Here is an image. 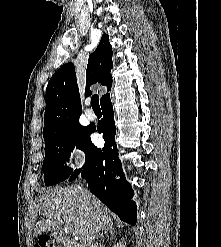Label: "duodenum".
Wrapping results in <instances>:
<instances>
[{
    "mask_svg": "<svg viewBox=\"0 0 221 247\" xmlns=\"http://www.w3.org/2000/svg\"><path fill=\"white\" fill-rule=\"evenodd\" d=\"M54 239L59 243L61 247H76V244L72 241H69L64 235L61 233L55 232L53 233Z\"/></svg>",
    "mask_w": 221,
    "mask_h": 247,
    "instance_id": "1",
    "label": "duodenum"
}]
</instances>
